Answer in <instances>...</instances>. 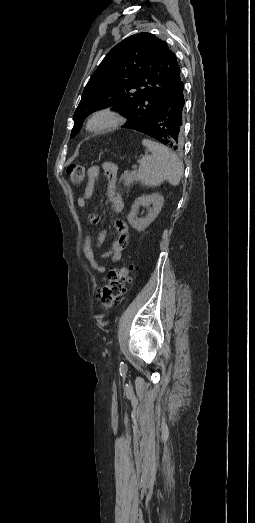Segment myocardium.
<instances>
[{
    "mask_svg": "<svg viewBox=\"0 0 255 523\" xmlns=\"http://www.w3.org/2000/svg\"><path fill=\"white\" fill-rule=\"evenodd\" d=\"M125 123V118L108 108L92 112L85 122V130L94 135L112 132Z\"/></svg>",
    "mask_w": 255,
    "mask_h": 523,
    "instance_id": "f54148a6",
    "label": "myocardium"
}]
</instances>
